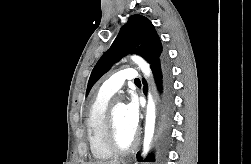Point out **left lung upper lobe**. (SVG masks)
<instances>
[{
    "label": "left lung upper lobe",
    "mask_w": 251,
    "mask_h": 164,
    "mask_svg": "<svg viewBox=\"0 0 251 164\" xmlns=\"http://www.w3.org/2000/svg\"><path fill=\"white\" fill-rule=\"evenodd\" d=\"M128 53L142 56L152 68L162 58L160 38L151 21L141 15H132L120 32L109 50L100 58L89 78L86 96L92 86L105 74L112 65Z\"/></svg>",
    "instance_id": "obj_1"
}]
</instances>
